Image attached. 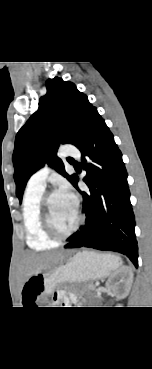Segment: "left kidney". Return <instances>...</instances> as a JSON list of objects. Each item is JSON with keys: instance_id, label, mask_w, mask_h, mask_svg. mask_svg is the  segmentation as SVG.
<instances>
[{"instance_id": "5707ae66", "label": "left kidney", "mask_w": 152, "mask_h": 369, "mask_svg": "<svg viewBox=\"0 0 152 369\" xmlns=\"http://www.w3.org/2000/svg\"><path fill=\"white\" fill-rule=\"evenodd\" d=\"M133 271L128 266H123L117 270L106 282L108 290L112 291L118 298H125L131 289L133 283ZM121 283L122 289L119 290L117 285Z\"/></svg>"}]
</instances>
